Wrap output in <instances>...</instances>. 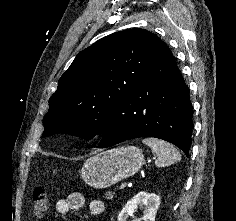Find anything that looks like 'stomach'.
<instances>
[{
  "label": "stomach",
  "instance_id": "1",
  "mask_svg": "<svg viewBox=\"0 0 236 221\" xmlns=\"http://www.w3.org/2000/svg\"><path fill=\"white\" fill-rule=\"evenodd\" d=\"M143 164L144 156L141 149L124 146L88 158L80 171V176L88 186L102 189L133 176Z\"/></svg>",
  "mask_w": 236,
  "mask_h": 221
}]
</instances>
